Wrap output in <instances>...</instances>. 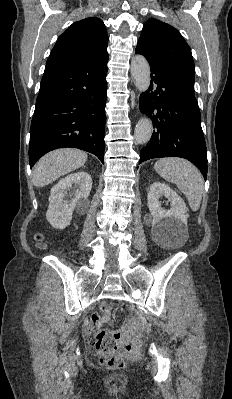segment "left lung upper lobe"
<instances>
[{
    "instance_id": "5c2ea615",
    "label": "left lung upper lobe",
    "mask_w": 232,
    "mask_h": 399,
    "mask_svg": "<svg viewBox=\"0 0 232 399\" xmlns=\"http://www.w3.org/2000/svg\"><path fill=\"white\" fill-rule=\"evenodd\" d=\"M136 49L160 60L194 96V61L190 47L178 30L162 21L149 19Z\"/></svg>"
}]
</instances>
